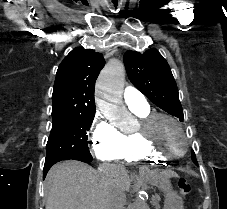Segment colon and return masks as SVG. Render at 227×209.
I'll use <instances>...</instances> for the list:
<instances>
[{"instance_id":"5ec220e1","label":"colon","mask_w":227,"mask_h":209,"mask_svg":"<svg viewBox=\"0 0 227 209\" xmlns=\"http://www.w3.org/2000/svg\"><path fill=\"white\" fill-rule=\"evenodd\" d=\"M189 190H190V184L188 183V181L181 180L178 188L179 193L183 195L185 193H188Z\"/></svg>"}]
</instances>
